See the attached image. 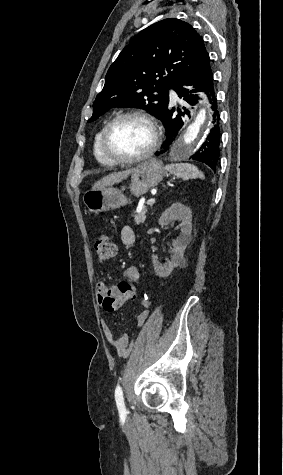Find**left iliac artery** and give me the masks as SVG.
I'll return each mask as SVG.
<instances>
[{"mask_svg": "<svg viewBox=\"0 0 283 475\" xmlns=\"http://www.w3.org/2000/svg\"><path fill=\"white\" fill-rule=\"evenodd\" d=\"M115 400L121 416L126 415V408L124 404L122 388L118 385L115 389Z\"/></svg>", "mask_w": 283, "mask_h": 475, "instance_id": "obj_1", "label": "left iliac artery"}]
</instances>
